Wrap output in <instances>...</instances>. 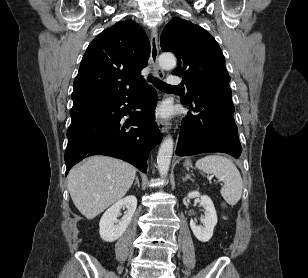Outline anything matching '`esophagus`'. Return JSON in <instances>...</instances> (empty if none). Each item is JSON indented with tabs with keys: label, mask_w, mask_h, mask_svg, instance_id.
<instances>
[{
	"label": "esophagus",
	"mask_w": 308,
	"mask_h": 278,
	"mask_svg": "<svg viewBox=\"0 0 308 278\" xmlns=\"http://www.w3.org/2000/svg\"><path fill=\"white\" fill-rule=\"evenodd\" d=\"M150 44H151L150 60L153 66L154 75L158 78H161L164 76V72L159 67L158 64L159 43H158V33L156 29H152L151 31ZM157 125L162 133L168 132L169 129L168 122L158 119Z\"/></svg>",
	"instance_id": "1"
}]
</instances>
